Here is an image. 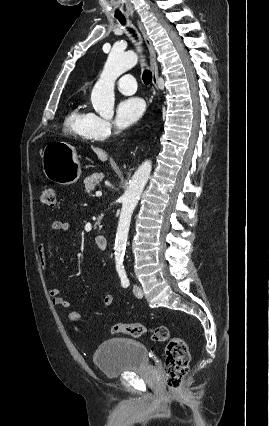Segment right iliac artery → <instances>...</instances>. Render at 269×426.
Masks as SVG:
<instances>
[{
    "mask_svg": "<svg viewBox=\"0 0 269 426\" xmlns=\"http://www.w3.org/2000/svg\"><path fill=\"white\" fill-rule=\"evenodd\" d=\"M117 271H118V274H119V276L121 278V284H122V286L124 288L128 287L129 286V280H128L127 276H126V273H125L124 269L121 268V267H117Z\"/></svg>",
    "mask_w": 269,
    "mask_h": 426,
    "instance_id": "right-iliac-artery-1",
    "label": "right iliac artery"
}]
</instances>
